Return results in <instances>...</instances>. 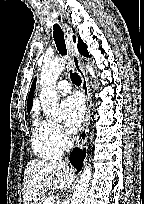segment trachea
I'll list each match as a JSON object with an SVG mask.
<instances>
[{"mask_svg": "<svg viewBox=\"0 0 144 204\" xmlns=\"http://www.w3.org/2000/svg\"><path fill=\"white\" fill-rule=\"evenodd\" d=\"M53 38L59 53L63 56L67 55L64 33L57 23L53 26ZM70 77L73 83L81 84V78L76 72H72V70H70Z\"/></svg>", "mask_w": 144, "mask_h": 204, "instance_id": "1", "label": "trachea"}]
</instances>
